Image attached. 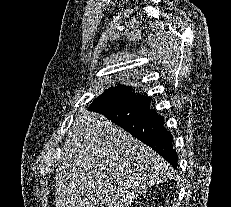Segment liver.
Returning <instances> with one entry per match:
<instances>
[{
    "label": "liver",
    "instance_id": "1",
    "mask_svg": "<svg viewBox=\"0 0 231 207\" xmlns=\"http://www.w3.org/2000/svg\"><path fill=\"white\" fill-rule=\"evenodd\" d=\"M55 175V207H130L169 164L99 113L85 110L73 122Z\"/></svg>",
    "mask_w": 231,
    "mask_h": 207
}]
</instances>
